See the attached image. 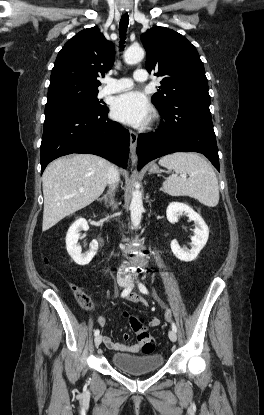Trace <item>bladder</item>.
<instances>
[{
    "mask_svg": "<svg viewBox=\"0 0 264 415\" xmlns=\"http://www.w3.org/2000/svg\"><path fill=\"white\" fill-rule=\"evenodd\" d=\"M111 361L120 370L130 374H141L159 370L164 364V357L155 353L138 356L116 353L112 356Z\"/></svg>",
    "mask_w": 264,
    "mask_h": 415,
    "instance_id": "31cf9c89",
    "label": "bladder"
}]
</instances>
